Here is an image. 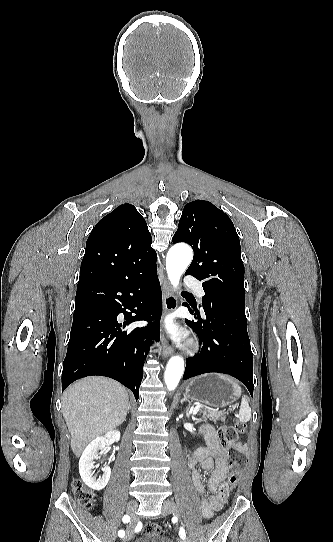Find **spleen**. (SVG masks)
<instances>
[{"label":"spleen","instance_id":"1","mask_svg":"<svg viewBox=\"0 0 333 542\" xmlns=\"http://www.w3.org/2000/svg\"><path fill=\"white\" fill-rule=\"evenodd\" d=\"M220 378L222 380H227L226 376H222V374H219ZM235 392L237 396H242V390L238 384H234ZM239 422H242V424H246V422H249L251 420V408L248 404L247 398H242L241 404H240V410L238 414Z\"/></svg>","mask_w":333,"mask_h":542}]
</instances>
